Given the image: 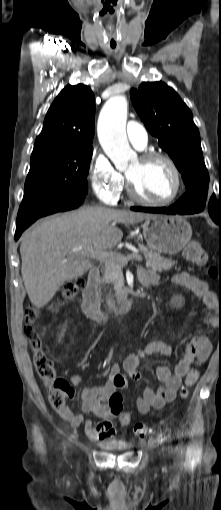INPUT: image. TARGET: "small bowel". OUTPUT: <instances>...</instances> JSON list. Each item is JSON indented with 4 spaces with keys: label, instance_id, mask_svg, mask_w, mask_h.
I'll return each mask as SVG.
<instances>
[{
    "label": "small bowel",
    "instance_id": "1",
    "mask_svg": "<svg viewBox=\"0 0 221 510\" xmlns=\"http://www.w3.org/2000/svg\"><path fill=\"white\" fill-rule=\"evenodd\" d=\"M140 281L144 286H156L160 282V277L153 270L142 269L140 271ZM171 282L191 290L202 299L206 306L204 323L208 331L213 332L218 323L215 314L218 299L216 294L210 290L208 284L187 272L175 274ZM172 353V348L167 343L152 341L137 351L126 355L121 364H114L110 369L111 376L106 384L83 388L80 394L83 413H91L102 419L101 422L95 423L91 419L84 420L81 413H74L68 407L65 410L58 411L59 415L74 427L84 423L85 433L91 440H105L114 436L116 431L112 426V422L118 419V415L116 409L109 403L111 395L117 391L112 384V377L124 371L132 379L139 380L141 373L138 366L142 358L154 354L171 357ZM210 353L211 343L209 338L207 336L194 337L188 344L183 358L175 365L173 371L164 365L156 369V377L162 385L156 389L151 387L144 389L143 393L136 398L137 411L145 415L151 409H161L167 403L173 401L181 386L182 379L190 371L191 366L202 365L207 361ZM80 381L81 376L78 373H73L71 376L72 384L77 385ZM125 387H127V381Z\"/></svg>",
    "mask_w": 221,
    "mask_h": 510
}]
</instances>
